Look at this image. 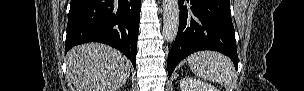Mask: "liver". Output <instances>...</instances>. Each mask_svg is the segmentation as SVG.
<instances>
[{"label": "liver", "instance_id": "liver-1", "mask_svg": "<svg viewBox=\"0 0 304 91\" xmlns=\"http://www.w3.org/2000/svg\"><path fill=\"white\" fill-rule=\"evenodd\" d=\"M130 61L116 49L87 43L67 54V71L77 91H117L130 75Z\"/></svg>", "mask_w": 304, "mask_h": 91}]
</instances>
